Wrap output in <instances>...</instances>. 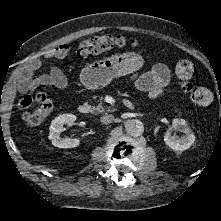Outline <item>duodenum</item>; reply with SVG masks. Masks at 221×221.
I'll list each match as a JSON object with an SVG mask.
<instances>
[{
	"mask_svg": "<svg viewBox=\"0 0 221 221\" xmlns=\"http://www.w3.org/2000/svg\"><path fill=\"white\" fill-rule=\"evenodd\" d=\"M89 111H90V107H89V105H87V104H81V105H79V107H78V112H79L80 114L85 115V114H88Z\"/></svg>",
	"mask_w": 221,
	"mask_h": 221,
	"instance_id": "1",
	"label": "duodenum"
}]
</instances>
